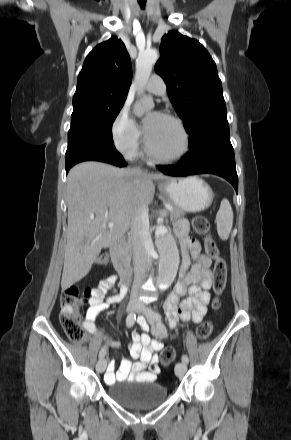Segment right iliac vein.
<instances>
[{
	"instance_id": "63e3f726",
	"label": "right iliac vein",
	"mask_w": 291,
	"mask_h": 440,
	"mask_svg": "<svg viewBox=\"0 0 291 440\" xmlns=\"http://www.w3.org/2000/svg\"><path fill=\"white\" fill-rule=\"evenodd\" d=\"M139 309V303L136 300H130L127 305V312H134ZM107 362L104 358H101L97 364L96 369L98 372L102 373L106 369Z\"/></svg>"
}]
</instances>
